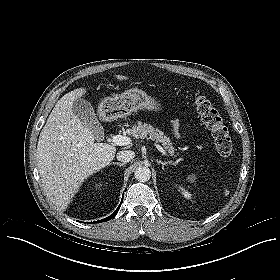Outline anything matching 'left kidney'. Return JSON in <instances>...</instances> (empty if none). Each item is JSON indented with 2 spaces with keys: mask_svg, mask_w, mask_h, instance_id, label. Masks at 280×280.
<instances>
[{
  "mask_svg": "<svg viewBox=\"0 0 280 280\" xmlns=\"http://www.w3.org/2000/svg\"><path fill=\"white\" fill-rule=\"evenodd\" d=\"M178 190L181 192V194H182L185 198L191 199L192 194H191L189 191L185 190V189H184L183 187H181V186L178 187Z\"/></svg>",
  "mask_w": 280,
  "mask_h": 280,
  "instance_id": "1",
  "label": "left kidney"
}]
</instances>
